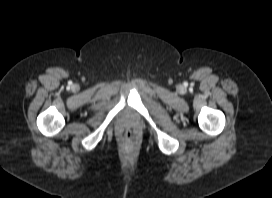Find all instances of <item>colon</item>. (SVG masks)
Segmentation results:
<instances>
[{
    "label": "colon",
    "mask_w": 272,
    "mask_h": 198,
    "mask_svg": "<svg viewBox=\"0 0 272 198\" xmlns=\"http://www.w3.org/2000/svg\"><path fill=\"white\" fill-rule=\"evenodd\" d=\"M133 140V132L131 129L125 130L123 134V141L125 143H130Z\"/></svg>",
    "instance_id": "colon-1"
}]
</instances>
